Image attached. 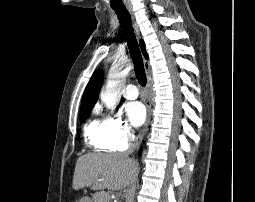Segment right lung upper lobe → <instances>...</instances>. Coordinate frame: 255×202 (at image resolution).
Masks as SVG:
<instances>
[{"label":"right lung upper lobe","instance_id":"1","mask_svg":"<svg viewBox=\"0 0 255 202\" xmlns=\"http://www.w3.org/2000/svg\"><path fill=\"white\" fill-rule=\"evenodd\" d=\"M140 45H141L143 55L147 58L145 44L142 40L140 41ZM103 77H104V73L102 70H97L93 73L90 81L88 82L85 88V91L82 97L81 108L93 107L95 105L98 99L100 88L103 83Z\"/></svg>","mask_w":255,"mask_h":202}]
</instances>
